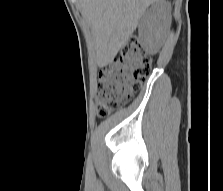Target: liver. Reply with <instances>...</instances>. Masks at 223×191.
I'll return each mask as SVG.
<instances>
[{
    "label": "liver",
    "instance_id": "1",
    "mask_svg": "<svg viewBox=\"0 0 223 191\" xmlns=\"http://www.w3.org/2000/svg\"><path fill=\"white\" fill-rule=\"evenodd\" d=\"M79 1L81 13L92 29L97 64L105 67L129 41L146 9L161 0Z\"/></svg>",
    "mask_w": 223,
    "mask_h": 191
}]
</instances>
